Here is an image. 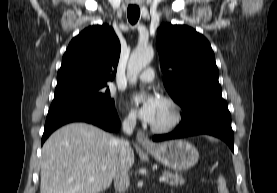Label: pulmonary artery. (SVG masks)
Listing matches in <instances>:
<instances>
[{"mask_svg":"<svg viewBox=\"0 0 277 193\" xmlns=\"http://www.w3.org/2000/svg\"><path fill=\"white\" fill-rule=\"evenodd\" d=\"M154 79V71L152 68L145 69L139 76L138 80L143 83L151 82Z\"/></svg>","mask_w":277,"mask_h":193,"instance_id":"e3ab8cb5","label":"pulmonary artery"}]
</instances>
